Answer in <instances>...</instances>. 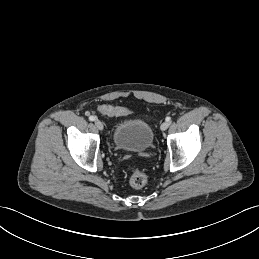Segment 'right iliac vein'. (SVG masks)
I'll return each instance as SVG.
<instances>
[{"label":"right iliac vein","mask_w":259,"mask_h":259,"mask_svg":"<svg viewBox=\"0 0 259 259\" xmlns=\"http://www.w3.org/2000/svg\"><path fill=\"white\" fill-rule=\"evenodd\" d=\"M95 126L99 129V130H103V123L100 121V120H98V119H96L95 120Z\"/></svg>","instance_id":"right-iliac-vein-1"}]
</instances>
